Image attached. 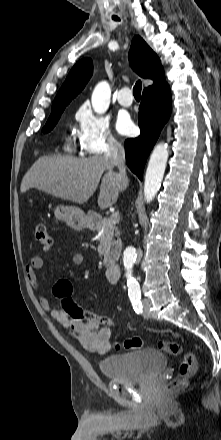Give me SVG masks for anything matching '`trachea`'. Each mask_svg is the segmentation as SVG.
I'll use <instances>...</instances> for the list:
<instances>
[{"instance_id":"3493384b","label":"trachea","mask_w":221,"mask_h":440,"mask_svg":"<svg viewBox=\"0 0 221 440\" xmlns=\"http://www.w3.org/2000/svg\"><path fill=\"white\" fill-rule=\"evenodd\" d=\"M114 20H119L118 18H114ZM141 89H142V83L141 81H137L135 86L133 87V95L136 99H140L141 95Z\"/></svg>"}]
</instances>
